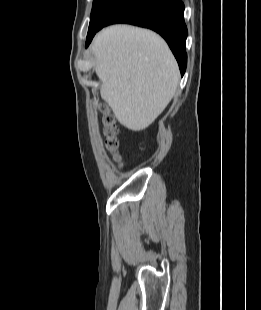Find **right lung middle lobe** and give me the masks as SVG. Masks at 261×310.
<instances>
[{"instance_id":"dd1d6c3e","label":"right lung middle lobe","mask_w":261,"mask_h":310,"mask_svg":"<svg viewBox=\"0 0 261 310\" xmlns=\"http://www.w3.org/2000/svg\"><path fill=\"white\" fill-rule=\"evenodd\" d=\"M127 0H94L88 32L100 26Z\"/></svg>"}]
</instances>
